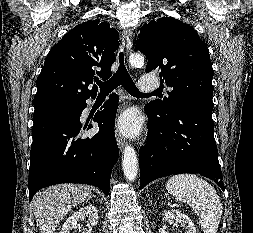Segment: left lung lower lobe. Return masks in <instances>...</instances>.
<instances>
[{
    "label": "left lung lower lobe",
    "mask_w": 253,
    "mask_h": 233,
    "mask_svg": "<svg viewBox=\"0 0 253 233\" xmlns=\"http://www.w3.org/2000/svg\"><path fill=\"white\" fill-rule=\"evenodd\" d=\"M148 141L140 148V190L169 175L198 173L215 181L222 190V173L214 139L212 109L203 104L179 108L167 121L156 116L149 104Z\"/></svg>",
    "instance_id": "left-lung-lower-lobe-1"
}]
</instances>
